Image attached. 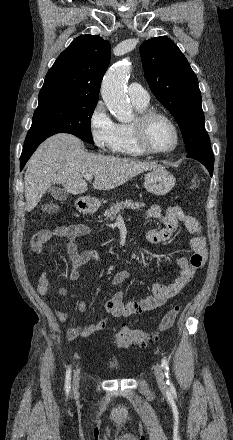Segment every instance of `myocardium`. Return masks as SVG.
<instances>
[{
  "mask_svg": "<svg viewBox=\"0 0 233 440\" xmlns=\"http://www.w3.org/2000/svg\"><path fill=\"white\" fill-rule=\"evenodd\" d=\"M161 118L167 121L172 127L175 135V141L171 148L166 150H157L153 148L148 141V129L150 123L156 119ZM131 130L133 132L135 141L138 147L145 153L149 155H164L173 152L179 145L180 142V132L178 126L174 122V120L168 116L167 114L154 110V109H146L141 111L136 116L135 120L130 124Z\"/></svg>",
  "mask_w": 233,
  "mask_h": 440,
  "instance_id": "myocardium-1",
  "label": "myocardium"
}]
</instances>
